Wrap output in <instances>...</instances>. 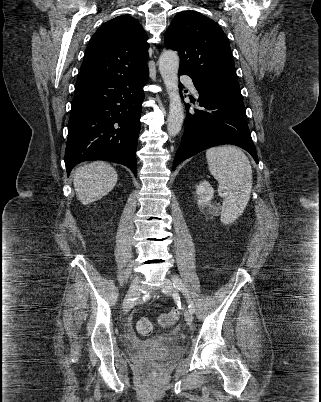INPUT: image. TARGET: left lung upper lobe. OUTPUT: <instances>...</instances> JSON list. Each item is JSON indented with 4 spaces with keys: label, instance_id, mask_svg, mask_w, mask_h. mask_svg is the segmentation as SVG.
<instances>
[{
    "label": "left lung upper lobe",
    "instance_id": "1",
    "mask_svg": "<svg viewBox=\"0 0 321 402\" xmlns=\"http://www.w3.org/2000/svg\"><path fill=\"white\" fill-rule=\"evenodd\" d=\"M165 45L179 53V73L193 81L238 83L228 39L210 18L193 11L178 13L165 33Z\"/></svg>",
    "mask_w": 321,
    "mask_h": 402
}]
</instances>
